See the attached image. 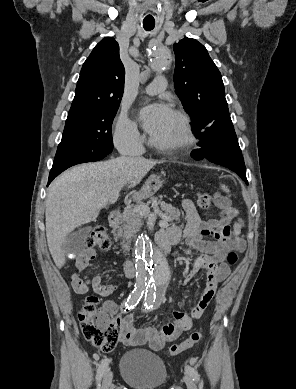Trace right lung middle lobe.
Returning <instances> with one entry per match:
<instances>
[{
  "label": "right lung middle lobe",
  "instance_id": "right-lung-middle-lobe-1",
  "mask_svg": "<svg viewBox=\"0 0 296 389\" xmlns=\"http://www.w3.org/2000/svg\"><path fill=\"white\" fill-rule=\"evenodd\" d=\"M118 107L97 108L80 118L66 120L52 168L66 170L76 164L101 160L111 153V125Z\"/></svg>",
  "mask_w": 296,
  "mask_h": 389
}]
</instances>
